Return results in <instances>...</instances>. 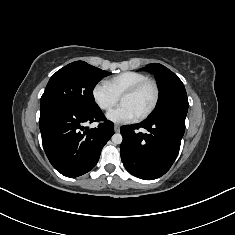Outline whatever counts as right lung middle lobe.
<instances>
[{
    "mask_svg": "<svg viewBox=\"0 0 235 235\" xmlns=\"http://www.w3.org/2000/svg\"><path fill=\"white\" fill-rule=\"evenodd\" d=\"M110 72L84 61H76L58 70L49 80L41 97L40 108L63 106L72 110L97 107L93 97L96 84Z\"/></svg>",
    "mask_w": 235,
    "mask_h": 235,
    "instance_id": "dd1d6c3e",
    "label": "right lung middle lobe"
}]
</instances>
